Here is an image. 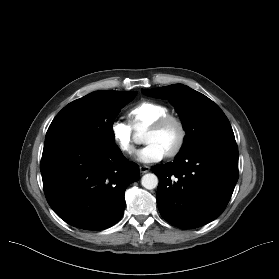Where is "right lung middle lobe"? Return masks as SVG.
Returning <instances> with one entry per match:
<instances>
[{"mask_svg":"<svg viewBox=\"0 0 279 279\" xmlns=\"http://www.w3.org/2000/svg\"><path fill=\"white\" fill-rule=\"evenodd\" d=\"M135 96L136 92L97 91L69 103L50 124L45 144L76 138L102 148L114 147L113 122Z\"/></svg>","mask_w":279,"mask_h":279,"instance_id":"dd1d6c3e","label":"right lung middle lobe"}]
</instances>
